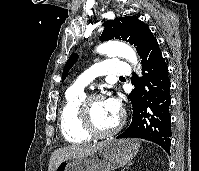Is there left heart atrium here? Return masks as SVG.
<instances>
[{"label":"left heart atrium","instance_id":"39dd6f15","mask_svg":"<svg viewBox=\"0 0 199 171\" xmlns=\"http://www.w3.org/2000/svg\"><path fill=\"white\" fill-rule=\"evenodd\" d=\"M106 108L108 111L113 115H119L121 111V103L120 101L114 97L110 96L106 99H104Z\"/></svg>","mask_w":199,"mask_h":171}]
</instances>
